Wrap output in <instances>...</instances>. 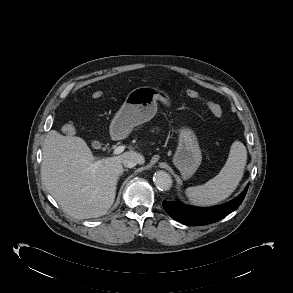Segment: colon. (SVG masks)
I'll list each match as a JSON object with an SVG mask.
<instances>
[{"mask_svg":"<svg viewBox=\"0 0 293 293\" xmlns=\"http://www.w3.org/2000/svg\"><path fill=\"white\" fill-rule=\"evenodd\" d=\"M186 94L189 98L200 100L216 118L223 117V110L219 104L205 99L197 91L192 89L187 90ZM102 95H103L102 91H95L93 92L92 97L94 99H98L102 97ZM62 131L66 135H71L74 133V126L71 123H67L62 127Z\"/></svg>","mask_w":293,"mask_h":293,"instance_id":"1","label":"colon"}]
</instances>
